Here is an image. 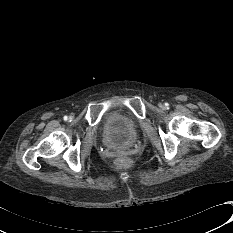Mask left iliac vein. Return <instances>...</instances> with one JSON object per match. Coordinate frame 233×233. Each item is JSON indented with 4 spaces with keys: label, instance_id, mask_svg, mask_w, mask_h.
<instances>
[{
    "label": "left iliac vein",
    "instance_id": "1",
    "mask_svg": "<svg viewBox=\"0 0 233 233\" xmlns=\"http://www.w3.org/2000/svg\"><path fill=\"white\" fill-rule=\"evenodd\" d=\"M159 107L163 109V108H164V105H163V104H160Z\"/></svg>",
    "mask_w": 233,
    "mask_h": 233
}]
</instances>
